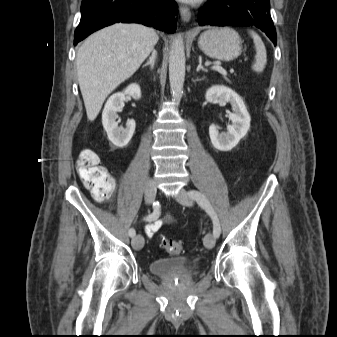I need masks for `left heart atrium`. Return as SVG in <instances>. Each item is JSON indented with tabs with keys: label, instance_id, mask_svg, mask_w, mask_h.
<instances>
[{
	"label": "left heart atrium",
	"instance_id": "1",
	"mask_svg": "<svg viewBox=\"0 0 337 337\" xmlns=\"http://www.w3.org/2000/svg\"><path fill=\"white\" fill-rule=\"evenodd\" d=\"M182 1H185V2H195V1H198V0H182Z\"/></svg>",
	"mask_w": 337,
	"mask_h": 337
}]
</instances>
